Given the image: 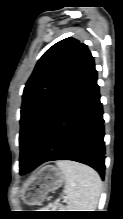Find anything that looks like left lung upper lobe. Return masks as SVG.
Listing matches in <instances>:
<instances>
[{
    "mask_svg": "<svg viewBox=\"0 0 123 219\" xmlns=\"http://www.w3.org/2000/svg\"><path fill=\"white\" fill-rule=\"evenodd\" d=\"M94 65L87 46L66 38L37 62L23 91L20 119V170L32 158L54 113Z\"/></svg>",
    "mask_w": 123,
    "mask_h": 219,
    "instance_id": "left-lung-upper-lobe-1",
    "label": "left lung upper lobe"
}]
</instances>
